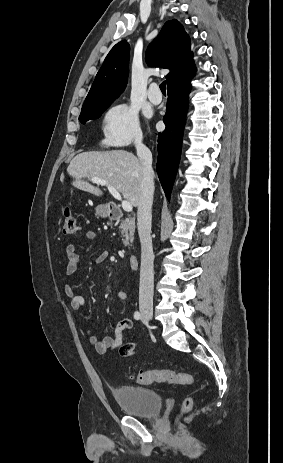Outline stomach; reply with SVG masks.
<instances>
[{"mask_svg": "<svg viewBox=\"0 0 283 463\" xmlns=\"http://www.w3.org/2000/svg\"><path fill=\"white\" fill-rule=\"evenodd\" d=\"M110 214H111V210H110L109 205L104 204V205H98L96 207V215L97 216L106 218V217H109Z\"/></svg>", "mask_w": 283, "mask_h": 463, "instance_id": "1", "label": "stomach"}]
</instances>
